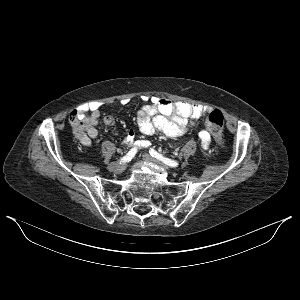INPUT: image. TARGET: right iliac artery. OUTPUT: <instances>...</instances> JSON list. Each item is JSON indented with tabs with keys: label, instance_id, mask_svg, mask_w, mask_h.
I'll return each instance as SVG.
<instances>
[{
	"label": "right iliac artery",
	"instance_id": "82829eb1",
	"mask_svg": "<svg viewBox=\"0 0 300 300\" xmlns=\"http://www.w3.org/2000/svg\"><path fill=\"white\" fill-rule=\"evenodd\" d=\"M137 152V148H132L124 157L120 159V162L126 163L131 161V159L135 156Z\"/></svg>",
	"mask_w": 300,
	"mask_h": 300
}]
</instances>
